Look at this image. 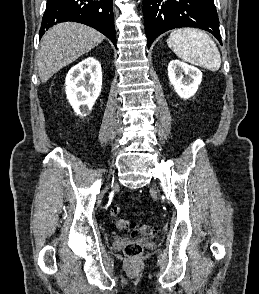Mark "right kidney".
I'll return each mask as SVG.
<instances>
[{"instance_id":"1","label":"right kidney","mask_w":259,"mask_h":294,"mask_svg":"<svg viewBox=\"0 0 259 294\" xmlns=\"http://www.w3.org/2000/svg\"><path fill=\"white\" fill-rule=\"evenodd\" d=\"M66 95L77 115L85 116L95 104L101 92V65L94 57H88L73 66L66 76Z\"/></svg>"}]
</instances>
